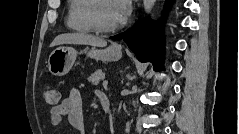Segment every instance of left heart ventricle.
Wrapping results in <instances>:
<instances>
[{
    "instance_id": "1",
    "label": "left heart ventricle",
    "mask_w": 239,
    "mask_h": 134,
    "mask_svg": "<svg viewBox=\"0 0 239 134\" xmlns=\"http://www.w3.org/2000/svg\"><path fill=\"white\" fill-rule=\"evenodd\" d=\"M98 18L100 23L107 27L117 24L112 12L111 1L104 0L100 2L98 7Z\"/></svg>"
}]
</instances>
